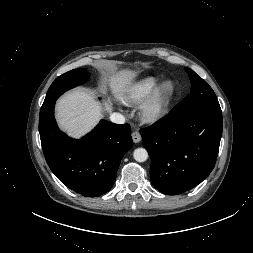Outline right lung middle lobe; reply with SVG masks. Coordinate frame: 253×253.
<instances>
[{"label":"right lung middle lobe","instance_id":"dd1d6c3e","mask_svg":"<svg viewBox=\"0 0 253 253\" xmlns=\"http://www.w3.org/2000/svg\"><path fill=\"white\" fill-rule=\"evenodd\" d=\"M88 78L89 73L82 68L71 70L57 77L50 86L42 107L55 102L65 91L85 83Z\"/></svg>","mask_w":253,"mask_h":253}]
</instances>
